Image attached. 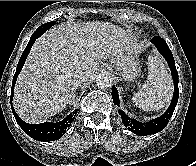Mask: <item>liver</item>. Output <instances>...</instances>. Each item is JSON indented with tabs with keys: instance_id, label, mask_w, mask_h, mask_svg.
I'll return each mask as SVG.
<instances>
[{
	"instance_id": "obj_1",
	"label": "liver",
	"mask_w": 196,
	"mask_h": 166,
	"mask_svg": "<svg viewBox=\"0 0 196 166\" xmlns=\"http://www.w3.org/2000/svg\"><path fill=\"white\" fill-rule=\"evenodd\" d=\"M140 48L122 28L108 22L60 24L39 37L18 76L13 106L21 119L40 123L61 112L75 95L76 70L95 77L99 62Z\"/></svg>"
}]
</instances>
